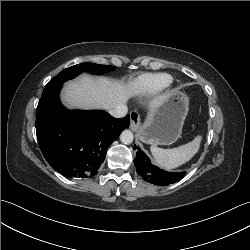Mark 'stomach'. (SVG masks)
Listing matches in <instances>:
<instances>
[{"mask_svg": "<svg viewBox=\"0 0 250 250\" xmlns=\"http://www.w3.org/2000/svg\"><path fill=\"white\" fill-rule=\"evenodd\" d=\"M188 109V97L179 91L171 92L151 110L147 120L138 130L139 139L152 145L174 143L182 133Z\"/></svg>", "mask_w": 250, "mask_h": 250, "instance_id": "0dacf381", "label": "stomach"}]
</instances>
